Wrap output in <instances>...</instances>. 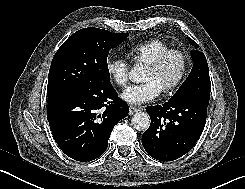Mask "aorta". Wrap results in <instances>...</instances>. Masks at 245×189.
Listing matches in <instances>:
<instances>
[{
	"label": "aorta",
	"instance_id": "1",
	"mask_svg": "<svg viewBox=\"0 0 245 189\" xmlns=\"http://www.w3.org/2000/svg\"><path fill=\"white\" fill-rule=\"evenodd\" d=\"M129 79L134 83H138L142 81V74L139 66H135L129 72ZM131 122L136 130L145 131L150 126V117L145 112H137L133 115Z\"/></svg>",
	"mask_w": 245,
	"mask_h": 189
}]
</instances>
